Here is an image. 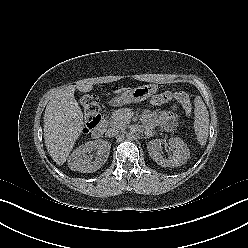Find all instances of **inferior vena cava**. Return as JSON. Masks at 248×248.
I'll return each instance as SVG.
<instances>
[{
    "mask_svg": "<svg viewBox=\"0 0 248 248\" xmlns=\"http://www.w3.org/2000/svg\"><path fill=\"white\" fill-rule=\"evenodd\" d=\"M121 130L122 129L119 128V127H112V128H110V129L107 130L106 135L108 137L117 136L121 132Z\"/></svg>",
    "mask_w": 248,
    "mask_h": 248,
    "instance_id": "inferior-vena-cava-1",
    "label": "inferior vena cava"
}]
</instances>
